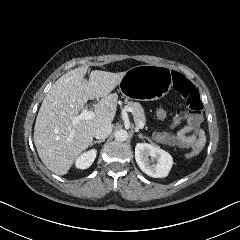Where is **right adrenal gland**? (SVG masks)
I'll use <instances>...</instances> for the list:
<instances>
[{
  "label": "right adrenal gland",
  "mask_w": 240,
  "mask_h": 240,
  "mask_svg": "<svg viewBox=\"0 0 240 240\" xmlns=\"http://www.w3.org/2000/svg\"><path fill=\"white\" fill-rule=\"evenodd\" d=\"M102 142H104V140H96V141L91 142L90 145H93V144H95V143L100 144V143H102Z\"/></svg>",
  "instance_id": "obj_1"
}]
</instances>
